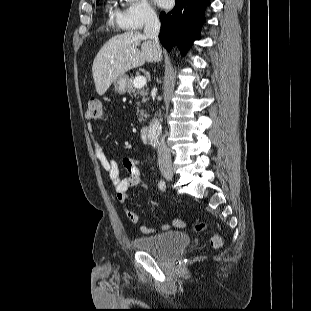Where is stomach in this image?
Here are the masks:
<instances>
[{
	"instance_id": "0dacf381",
	"label": "stomach",
	"mask_w": 311,
	"mask_h": 311,
	"mask_svg": "<svg viewBox=\"0 0 311 311\" xmlns=\"http://www.w3.org/2000/svg\"><path fill=\"white\" fill-rule=\"evenodd\" d=\"M128 77L122 75L114 80L113 85L114 89L119 94H124L127 91Z\"/></svg>"
}]
</instances>
